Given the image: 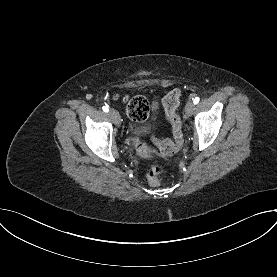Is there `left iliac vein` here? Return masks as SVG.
<instances>
[{
	"instance_id": "left-iliac-vein-1",
	"label": "left iliac vein",
	"mask_w": 277,
	"mask_h": 277,
	"mask_svg": "<svg viewBox=\"0 0 277 277\" xmlns=\"http://www.w3.org/2000/svg\"><path fill=\"white\" fill-rule=\"evenodd\" d=\"M194 111V103L190 100L185 105V115L190 117Z\"/></svg>"
}]
</instances>
